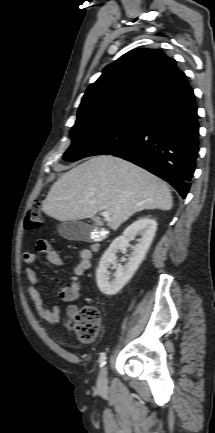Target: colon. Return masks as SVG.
Here are the masks:
<instances>
[{"label":"colon","instance_id":"1","mask_svg":"<svg viewBox=\"0 0 215 433\" xmlns=\"http://www.w3.org/2000/svg\"><path fill=\"white\" fill-rule=\"evenodd\" d=\"M43 225L41 208L38 203L30 206L26 213L24 227L26 231L39 230ZM79 341L87 343L92 341L99 330L100 313L94 306H84L71 323Z\"/></svg>","mask_w":215,"mask_h":433}]
</instances>
